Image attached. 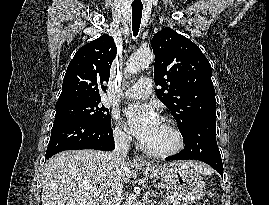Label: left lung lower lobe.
<instances>
[{
  "mask_svg": "<svg viewBox=\"0 0 269 205\" xmlns=\"http://www.w3.org/2000/svg\"><path fill=\"white\" fill-rule=\"evenodd\" d=\"M184 149L166 160H200L214 168L223 177V164L216 142V119H202L192 124L185 134Z\"/></svg>",
  "mask_w": 269,
  "mask_h": 205,
  "instance_id": "0a47b994",
  "label": "left lung lower lobe"
}]
</instances>
